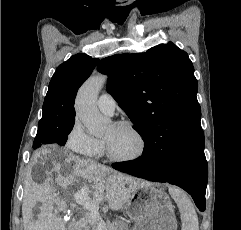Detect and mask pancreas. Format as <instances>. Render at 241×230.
Segmentation results:
<instances>
[{
  "label": "pancreas",
  "instance_id": "pancreas-1",
  "mask_svg": "<svg viewBox=\"0 0 241 230\" xmlns=\"http://www.w3.org/2000/svg\"><path fill=\"white\" fill-rule=\"evenodd\" d=\"M128 223V221L108 223L104 230H127ZM94 224L95 223L90 220V213H86L72 226L71 230H95Z\"/></svg>",
  "mask_w": 241,
  "mask_h": 230
}]
</instances>
